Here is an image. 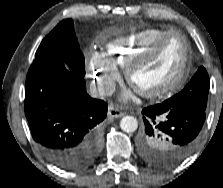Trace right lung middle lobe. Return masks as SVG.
I'll list each match as a JSON object with an SVG mask.
<instances>
[{
    "label": "right lung middle lobe",
    "instance_id": "1",
    "mask_svg": "<svg viewBox=\"0 0 223 188\" xmlns=\"http://www.w3.org/2000/svg\"><path fill=\"white\" fill-rule=\"evenodd\" d=\"M48 61L66 63L72 73L84 77V56L75 37L72 19L61 21L41 42L33 64Z\"/></svg>",
    "mask_w": 223,
    "mask_h": 188
}]
</instances>
